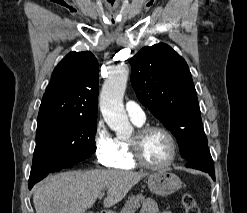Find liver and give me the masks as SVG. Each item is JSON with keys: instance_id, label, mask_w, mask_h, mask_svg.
<instances>
[{"instance_id": "1", "label": "liver", "mask_w": 247, "mask_h": 213, "mask_svg": "<svg viewBox=\"0 0 247 213\" xmlns=\"http://www.w3.org/2000/svg\"><path fill=\"white\" fill-rule=\"evenodd\" d=\"M145 172L122 170L69 171L50 176L34 187L36 213H85L104 190L103 204L109 208L120 202Z\"/></svg>"}]
</instances>
